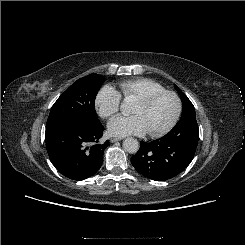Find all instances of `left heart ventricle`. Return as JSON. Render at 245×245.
<instances>
[{"label": "left heart ventricle", "instance_id": "left-heart-ventricle-1", "mask_svg": "<svg viewBox=\"0 0 245 245\" xmlns=\"http://www.w3.org/2000/svg\"><path fill=\"white\" fill-rule=\"evenodd\" d=\"M176 111V100L170 95L162 96L148 105L134 102L131 114L141 118L147 132L164 128L173 118Z\"/></svg>", "mask_w": 245, "mask_h": 245}]
</instances>
